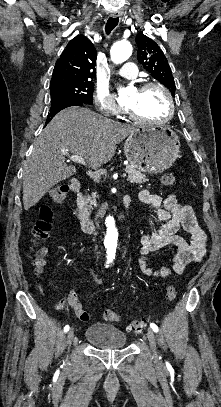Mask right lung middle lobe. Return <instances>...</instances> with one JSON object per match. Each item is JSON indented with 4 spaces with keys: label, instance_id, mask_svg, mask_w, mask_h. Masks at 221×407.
I'll return each instance as SVG.
<instances>
[{
    "label": "right lung middle lobe",
    "instance_id": "right-lung-middle-lobe-1",
    "mask_svg": "<svg viewBox=\"0 0 221 407\" xmlns=\"http://www.w3.org/2000/svg\"><path fill=\"white\" fill-rule=\"evenodd\" d=\"M93 91L94 83L92 82H80L50 89L51 105L66 100H74L86 104H92Z\"/></svg>",
    "mask_w": 221,
    "mask_h": 407
}]
</instances>
